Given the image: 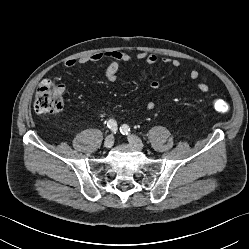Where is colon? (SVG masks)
Masks as SVG:
<instances>
[{"instance_id":"1","label":"colon","mask_w":249,"mask_h":249,"mask_svg":"<svg viewBox=\"0 0 249 249\" xmlns=\"http://www.w3.org/2000/svg\"><path fill=\"white\" fill-rule=\"evenodd\" d=\"M62 85H56L51 80H43L35 94L34 110L40 114H58L63 110L64 100L61 95ZM212 107L216 112L226 113L229 105L222 99H215Z\"/></svg>"}]
</instances>
